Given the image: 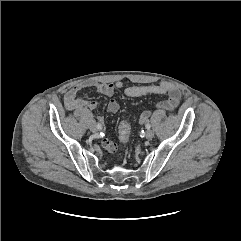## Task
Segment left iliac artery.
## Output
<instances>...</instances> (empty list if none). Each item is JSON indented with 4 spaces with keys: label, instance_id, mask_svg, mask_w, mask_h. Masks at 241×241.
<instances>
[{
    "label": "left iliac artery",
    "instance_id": "44dca946",
    "mask_svg": "<svg viewBox=\"0 0 241 241\" xmlns=\"http://www.w3.org/2000/svg\"><path fill=\"white\" fill-rule=\"evenodd\" d=\"M147 129H150L151 128V125L150 124H146L145 126Z\"/></svg>",
    "mask_w": 241,
    "mask_h": 241
}]
</instances>
